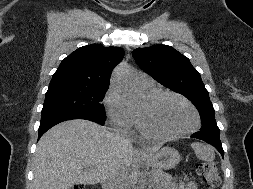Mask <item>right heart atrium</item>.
<instances>
[{"instance_id":"d8ad5b80","label":"right heart atrium","mask_w":253,"mask_h":189,"mask_svg":"<svg viewBox=\"0 0 253 189\" xmlns=\"http://www.w3.org/2000/svg\"><path fill=\"white\" fill-rule=\"evenodd\" d=\"M104 106L110 123L116 128L128 131L135 124V114L127 107L120 93L114 88L107 91Z\"/></svg>"}]
</instances>
